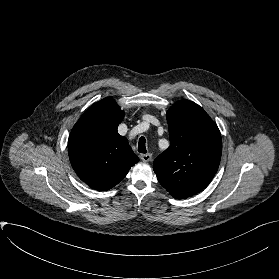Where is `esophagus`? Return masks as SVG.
I'll list each match as a JSON object with an SVG mask.
<instances>
[{
	"instance_id": "obj_1",
	"label": "esophagus",
	"mask_w": 279,
	"mask_h": 279,
	"mask_svg": "<svg viewBox=\"0 0 279 279\" xmlns=\"http://www.w3.org/2000/svg\"><path fill=\"white\" fill-rule=\"evenodd\" d=\"M140 158L144 161V162H148L151 160L152 158V154L147 153V154H141Z\"/></svg>"
}]
</instances>
